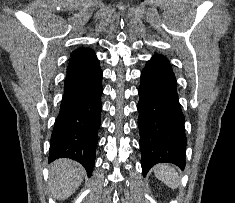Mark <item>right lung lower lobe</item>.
I'll return each mask as SVG.
<instances>
[{
	"mask_svg": "<svg viewBox=\"0 0 235 203\" xmlns=\"http://www.w3.org/2000/svg\"><path fill=\"white\" fill-rule=\"evenodd\" d=\"M102 92V71L96 57L67 73L60 111L51 135L49 162L70 158L81 163L91 176Z\"/></svg>",
	"mask_w": 235,
	"mask_h": 203,
	"instance_id": "obj_1",
	"label": "right lung lower lobe"
}]
</instances>
